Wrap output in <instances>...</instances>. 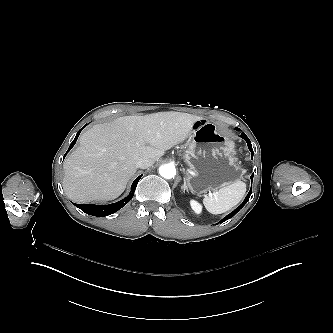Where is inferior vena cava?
I'll use <instances>...</instances> for the list:
<instances>
[{
  "label": "inferior vena cava",
  "mask_w": 333,
  "mask_h": 333,
  "mask_svg": "<svg viewBox=\"0 0 333 333\" xmlns=\"http://www.w3.org/2000/svg\"><path fill=\"white\" fill-rule=\"evenodd\" d=\"M154 161L150 158H146V157H142L140 158L137 163H136V167L137 168H142V169H145V168H148L150 167L151 165H153Z\"/></svg>",
  "instance_id": "1"
}]
</instances>
